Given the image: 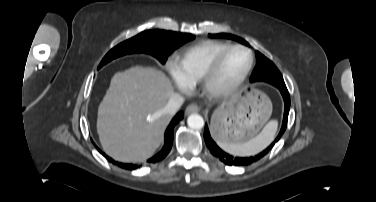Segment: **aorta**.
<instances>
[{
    "mask_svg": "<svg viewBox=\"0 0 376 202\" xmlns=\"http://www.w3.org/2000/svg\"><path fill=\"white\" fill-rule=\"evenodd\" d=\"M187 124L191 129H202L204 126V119L199 114H191L187 118Z\"/></svg>",
    "mask_w": 376,
    "mask_h": 202,
    "instance_id": "aorta-1",
    "label": "aorta"
}]
</instances>
